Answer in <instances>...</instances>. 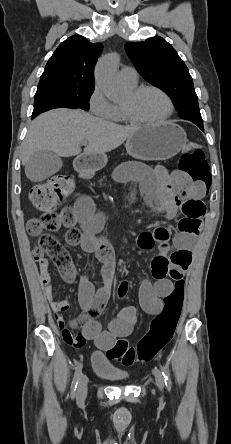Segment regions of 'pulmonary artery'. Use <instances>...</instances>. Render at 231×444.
Here are the masks:
<instances>
[{
	"mask_svg": "<svg viewBox=\"0 0 231 444\" xmlns=\"http://www.w3.org/2000/svg\"><path fill=\"white\" fill-rule=\"evenodd\" d=\"M119 77L124 84L135 85L138 82L137 71L132 67H123L119 72Z\"/></svg>",
	"mask_w": 231,
	"mask_h": 444,
	"instance_id": "obj_1",
	"label": "pulmonary artery"
}]
</instances>
